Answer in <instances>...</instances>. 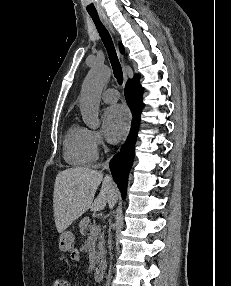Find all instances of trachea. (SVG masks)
I'll return each mask as SVG.
<instances>
[{
  "label": "trachea",
  "instance_id": "1",
  "mask_svg": "<svg viewBox=\"0 0 231 286\" xmlns=\"http://www.w3.org/2000/svg\"><path fill=\"white\" fill-rule=\"evenodd\" d=\"M91 18L93 19L96 28L99 32V35L104 43V46L107 50L109 60L113 69V74L114 77L116 78L117 82L121 85L123 83V72H122V67L119 62V59L117 57V53L112 41V38L107 31V29L104 27V25L101 23L98 14H91L89 13Z\"/></svg>",
  "mask_w": 231,
  "mask_h": 286
}]
</instances>
